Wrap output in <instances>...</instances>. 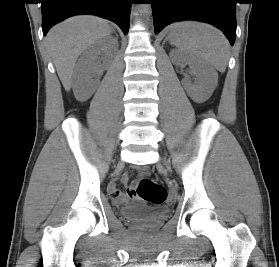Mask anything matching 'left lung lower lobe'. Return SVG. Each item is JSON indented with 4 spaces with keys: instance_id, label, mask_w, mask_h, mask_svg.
<instances>
[{
    "instance_id": "obj_1",
    "label": "left lung lower lobe",
    "mask_w": 279,
    "mask_h": 267,
    "mask_svg": "<svg viewBox=\"0 0 279 267\" xmlns=\"http://www.w3.org/2000/svg\"><path fill=\"white\" fill-rule=\"evenodd\" d=\"M157 34L168 24L181 20H200L224 32L231 45L236 36L235 0H150Z\"/></svg>"
}]
</instances>
